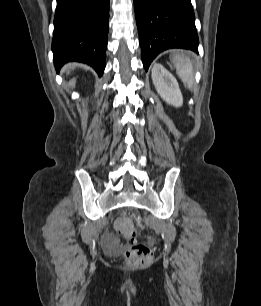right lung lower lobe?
<instances>
[{"label":"right lung lower lobe","mask_w":261,"mask_h":306,"mask_svg":"<svg viewBox=\"0 0 261 306\" xmlns=\"http://www.w3.org/2000/svg\"><path fill=\"white\" fill-rule=\"evenodd\" d=\"M110 0H57L52 51L57 70L69 61L105 68Z\"/></svg>","instance_id":"1"}]
</instances>
